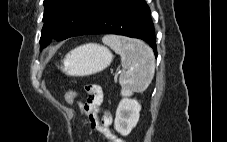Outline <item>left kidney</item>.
<instances>
[{
  "label": "left kidney",
  "mask_w": 227,
  "mask_h": 142,
  "mask_svg": "<svg viewBox=\"0 0 227 142\" xmlns=\"http://www.w3.org/2000/svg\"><path fill=\"white\" fill-rule=\"evenodd\" d=\"M141 105L135 99L123 98L117 107L114 121L115 130L123 136L130 134L137 125Z\"/></svg>",
  "instance_id": "obj_1"
}]
</instances>
